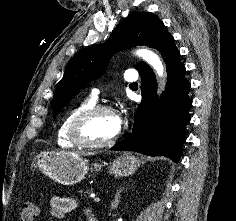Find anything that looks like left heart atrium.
<instances>
[{
    "instance_id": "left-heart-atrium-1",
    "label": "left heart atrium",
    "mask_w": 236,
    "mask_h": 221,
    "mask_svg": "<svg viewBox=\"0 0 236 221\" xmlns=\"http://www.w3.org/2000/svg\"><path fill=\"white\" fill-rule=\"evenodd\" d=\"M115 120H116L117 128L119 130L123 124V118L121 115H115Z\"/></svg>"
}]
</instances>
